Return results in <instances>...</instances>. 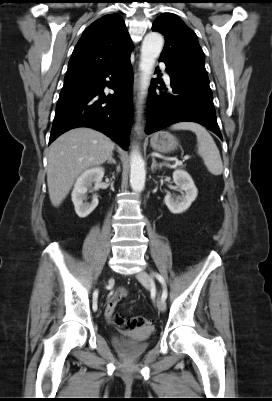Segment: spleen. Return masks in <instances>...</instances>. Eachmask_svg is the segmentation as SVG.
Masks as SVG:
<instances>
[{"label":"spleen","mask_w":272,"mask_h":401,"mask_svg":"<svg viewBox=\"0 0 272 401\" xmlns=\"http://www.w3.org/2000/svg\"><path fill=\"white\" fill-rule=\"evenodd\" d=\"M174 130H190L197 136V153L202 157L208 171L213 175H221L223 163L219 150L207 130L193 122H180L172 125Z\"/></svg>","instance_id":"3e777b00"}]
</instances>
